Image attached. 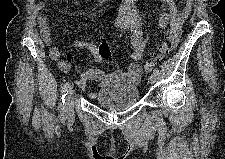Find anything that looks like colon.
Masks as SVG:
<instances>
[{
  "label": "colon",
  "mask_w": 225,
  "mask_h": 159,
  "mask_svg": "<svg viewBox=\"0 0 225 159\" xmlns=\"http://www.w3.org/2000/svg\"><path fill=\"white\" fill-rule=\"evenodd\" d=\"M169 51H170V46L166 43L163 44L159 52L145 64V67H144L145 71L150 72L153 68L159 65L160 62L163 60V58L169 53Z\"/></svg>",
  "instance_id": "colon-1"
}]
</instances>
